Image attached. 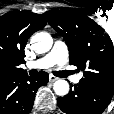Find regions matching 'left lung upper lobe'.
<instances>
[{"label": "left lung upper lobe", "mask_w": 114, "mask_h": 114, "mask_svg": "<svg viewBox=\"0 0 114 114\" xmlns=\"http://www.w3.org/2000/svg\"><path fill=\"white\" fill-rule=\"evenodd\" d=\"M48 23L67 43L69 63L83 71V81L114 88V47L103 29L71 8L47 11Z\"/></svg>", "instance_id": "obj_1"}]
</instances>
